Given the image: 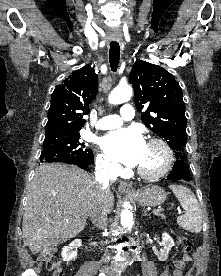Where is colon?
Masks as SVG:
<instances>
[{
	"label": "colon",
	"instance_id": "5ec220e1",
	"mask_svg": "<svg viewBox=\"0 0 221 276\" xmlns=\"http://www.w3.org/2000/svg\"><path fill=\"white\" fill-rule=\"evenodd\" d=\"M192 242L185 236H180L178 238V247L183 254H188L192 249ZM39 260L44 262L49 271L52 272L53 276H63L64 271L62 263L54 258V248L44 247L39 255ZM181 263H174V267L168 265L160 276H170L176 267H180Z\"/></svg>",
	"mask_w": 221,
	"mask_h": 276
}]
</instances>
